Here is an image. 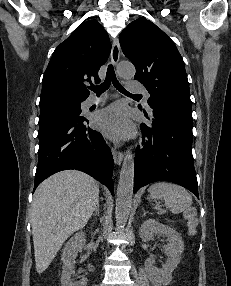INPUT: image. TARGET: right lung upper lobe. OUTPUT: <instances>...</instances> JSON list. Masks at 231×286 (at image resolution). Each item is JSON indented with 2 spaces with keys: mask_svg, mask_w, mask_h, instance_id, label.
I'll list each match as a JSON object with an SVG mask.
<instances>
[{
  "mask_svg": "<svg viewBox=\"0 0 231 286\" xmlns=\"http://www.w3.org/2000/svg\"><path fill=\"white\" fill-rule=\"evenodd\" d=\"M111 44L105 29L89 20L78 26L55 49L42 80L40 107L69 101H84L89 91L84 82L100 81Z\"/></svg>",
  "mask_w": 231,
  "mask_h": 286,
  "instance_id": "right-lung-upper-lobe-1",
  "label": "right lung upper lobe"
}]
</instances>
